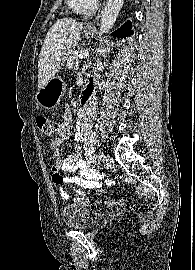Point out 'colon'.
<instances>
[{
	"instance_id": "5ec220e1",
	"label": "colon",
	"mask_w": 195,
	"mask_h": 270,
	"mask_svg": "<svg viewBox=\"0 0 195 270\" xmlns=\"http://www.w3.org/2000/svg\"><path fill=\"white\" fill-rule=\"evenodd\" d=\"M36 124L43 134H45L47 136L53 134L54 123L50 118L43 116V115H39L36 117ZM104 202H105V204H107L109 206H114L116 204H123L125 202V200L124 199L113 200L111 198H107V199H105Z\"/></svg>"
}]
</instances>
